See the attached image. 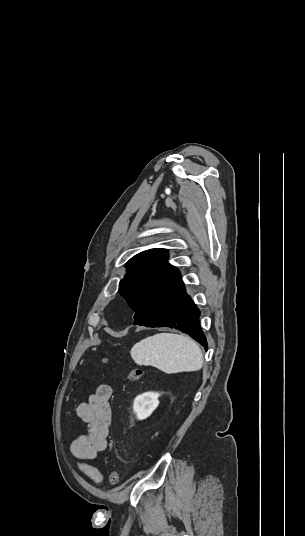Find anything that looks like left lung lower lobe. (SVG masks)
Here are the masks:
<instances>
[{
  "label": "left lung lower lobe",
  "mask_w": 305,
  "mask_h": 536,
  "mask_svg": "<svg viewBox=\"0 0 305 536\" xmlns=\"http://www.w3.org/2000/svg\"><path fill=\"white\" fill-rule=\"evenodd\" d=\"M200 311L185 292L181 276L147 299L134 315V324L172 327L189 334L207 350L206 337L199 325Z\"/></svg>",
  "instance_id": "0a47b994"
}]
</instances>
